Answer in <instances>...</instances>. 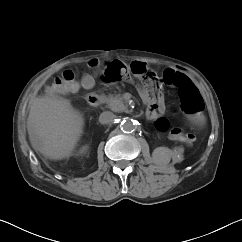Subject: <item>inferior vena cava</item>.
I'll use <instances>...</instances> for the list:
<instances>
[{
	"instance_id": "obj_1",
	"label": "inferior vena cava",
	"mask_w": 242,
	"mask_h": 242,
	"mask_svg": "<svg viewBox=\"0 0 242 242\" xmlns=\"http://www.w3.org/2000/svg\"><path fill=\"white\" fill-rule=\"evenodd\" d=\"M115 114L110 111H105L100 114L99 122L101 124H109L115 119Z\"/></svg>"
}]
</instances>
